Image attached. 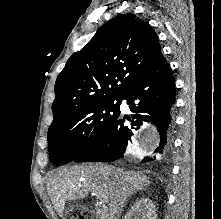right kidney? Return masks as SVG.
Segmentation results:
<instances>
[{"mask_svg": "<svg viewBox=\"0 0 221 219\" xmlns=\"http://www.w3.org/2000/svg\"><path fill=\"white\" fill-rule=\"evenodd\" d=\"M156 206L148 198L135 202L125 215V219H156Z\"/></svg>", "mask_w": 221, "mask_h": 219, "instance_id": "right-kidney-1", "label": "right kidney"}]
</instances>
